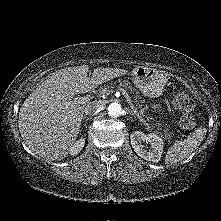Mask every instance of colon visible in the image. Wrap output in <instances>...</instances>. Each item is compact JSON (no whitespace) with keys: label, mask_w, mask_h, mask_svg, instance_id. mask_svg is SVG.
<instances>
[{"label":"colon","mask_w":221,"mask_h":221,"mask_svg":"<svg viewBox=\"0 0 221 221\" xmlns=\"http://www.w3.org/2000/svg\"><path fill=\"white\" fill-rule=\"evenodd\" d=\"M175 106L184 112L180 119V125L184 129H192L195 126V119L191 114L195 104L186 90L180 88L174 94Z\"/></svg>","instance_id":"5ec220e1"}]
</instances>
